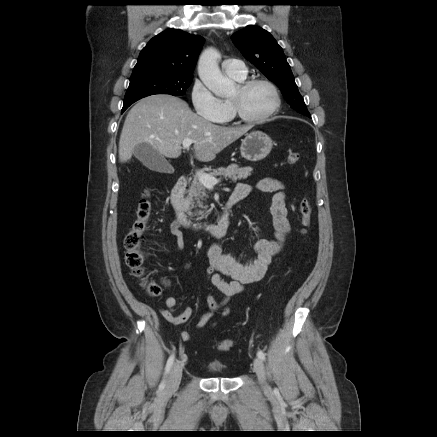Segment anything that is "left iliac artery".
<instances>
[{
	"instance_id": "44dca946",
	"label": "left iliac artery",
	"mask_w": 437,
	"mask_h": 437,
	"mask_svg": "<svg viewBox=\"0 0 437 437\" xmlns=\"http://www.w3.org/2000/svg\"><path fill=\"white\" fill-rule=\"evenodd\" d=\"M257 356H258V358H260L261 360H265V354H264L263 351L259 350V351L257 352Z\"/></svg>"
}]
</instances>
